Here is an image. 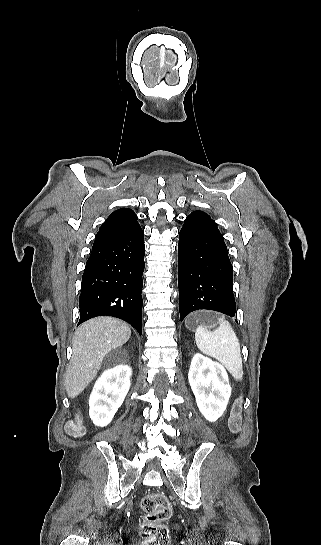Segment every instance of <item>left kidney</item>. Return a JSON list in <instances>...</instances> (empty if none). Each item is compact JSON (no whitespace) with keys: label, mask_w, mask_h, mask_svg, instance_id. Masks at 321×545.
<instances>
[{"label":"left kidney","mask_w":321,"mask_h":545,"mask_svg":"<svg viewBox=\"0 0 321 545\" xmlns=\"http://www.w3.org/2000/svg\"><path fill=\"white\" fill-rule=\"evenodd\" d=\"M188 381L200 413L207 421L215 423L226 411L231 397V387L224 367L196 353L191 361Z\"/></svg>","instance_id":"1"}]
</instances>
